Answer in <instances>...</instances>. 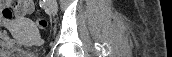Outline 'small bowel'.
<instances>
[{
	"label": "small bowel",
	"instance_id": "small-bowel-1",
	"mask_svg": "<svg viewBox=\"0 0 172 57\" xmlns=\"http://www.w3.org/2000/svg\"><path fill=\"white\" fill-rule=\"evenodd\" d=\"M10 4L16 5L19 8L17 9V13L19 17L32 12L33 10V1L31 0H20V1H13ZM3 6L0 3V9ZM20 47V43L11 38L5 30L0 29V52H13L16 51Z\"/></svg>",
	"mask_w": 172,
	"mask_h": 57
}]
</instances>
